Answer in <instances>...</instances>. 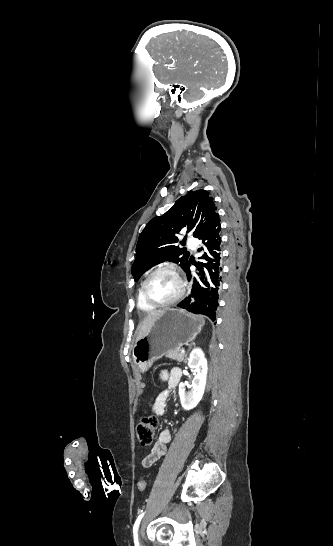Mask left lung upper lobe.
<instances>
[{
  "label": "left lung upper lobe",
  "instance_id": "1",
  "mask_svg": "<svg viewBox=\"0 0 333 546\" xmlns=\"http://www.w3.org/2000/svg\"><path fill=\"white\" fill-rule=\"evenodd\" d=\"M218 215L213 198L208 191H190L179 198L170 210L159 217L153 218L141 232L137 247L136 258L132 265V275L135 281L141 275L164 261L180 263L185 272L190 267L189 253L181 249L176 234L187 228L193 231V236L199 235L211 224Z\"/></svg>",
  "mask_w": 333,
  "mask_h": 546
}]
</instances>
